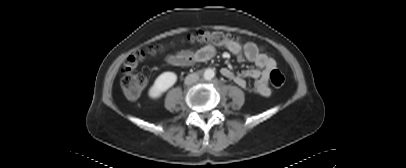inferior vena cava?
<instances>
[{"label": "inferior vena cava", "instance_id": "602c4592", "mask_svg": "<svg viewBox=\"0 0 406 168\" xmlns=\"http://www.w3.org/2000/svg\"><path fill=\"white\" fill-rule=\"evenodd\" d=\"M199 79L198 74L193 73V74H189L188 76H186L185 78V84L187 85H191L193 83H196Z\"/></svg>", "mask_w": 406, "mask_h": 168}]
</instances>
